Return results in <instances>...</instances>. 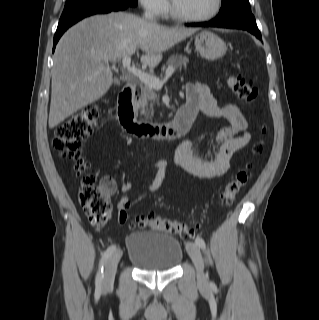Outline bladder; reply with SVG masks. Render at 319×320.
Returning a JSON list of instances; mask_svg holds the SVG:
<instances>
[{
	"label": "bladder",
	"mask_w": 319,
	"mask_h": 320,
	"mask_svg": "<svg viewBox=\"0 0 319 320\" xmlns=\"http://www.w3.org/2000/svg\"><path fill=\"white\" fill-rule=\"evenodd\" d=\"M128 261L142 271H169L183 259L184 249L171 234L158 231H137L126 238Z\"/></svg>",
	"instance_id": "bladder-1"
}]
</instances>
